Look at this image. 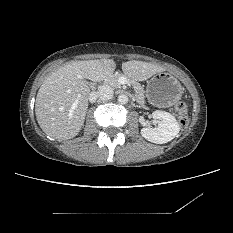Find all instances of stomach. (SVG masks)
<instances>
[{
    "label": "stomach",
    "mask_w": 233,
    "mask_h": 233,
    "mask_svg": "<svg viewBox=\"0 0 233 233\" xmlns=\"http://www.w3.org/2000/svg\"><path fill=\"white\" fill-rule=\"evenodd\" d=\"M181 95L182 86L170 73H156L148 82L147 98L157 106H171L180 99Z\"/></svg>",
    "instance_id": "0dacf381"
}]
</instances>
